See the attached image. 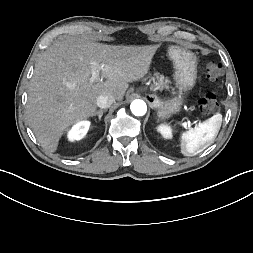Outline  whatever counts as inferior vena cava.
<instances>
[{
	"instance_id": "obj_1",
	"label": "inferior vena cava",
	"mask_w": 253,
	"mask_h": 253,
	"mask_svg": "<svg viewBox=\"0 0 253 253\" xmlns=\"http://www.w3.org/2000/svg\"><path fill=\"white\" fill-rule=\"evenodd\" d=\"M115 102V98L112 95L104 94L100 95L96 99V104L100 108H108Z\"/></svg>"
}]
</instances>
